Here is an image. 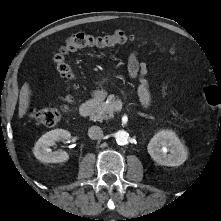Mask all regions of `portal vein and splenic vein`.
Masks as SVG:
<instances>
[{
  "mask_svg": "<svg viewBox=\"0 0 221 221\" xmlns=\"http://www.w3.org/2000/svg\"><path fill=\"white\" fill-rule=\"evenodd\" d=\"M121 108H122L121 103H116L115 109H116V110H120Z\"/></svg>",
  "mask_w": 221,
  "mask_h": 221,
  "instance_id": "1",
  "label": "portal vein and splenic vein"
}]
</instances>
